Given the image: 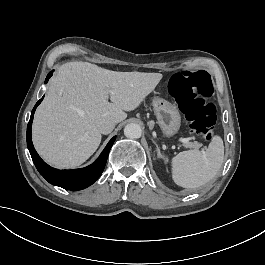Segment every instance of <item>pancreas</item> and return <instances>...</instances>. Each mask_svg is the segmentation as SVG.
I'll return each instance as SVG.
<instances>
[{
  "instance_id": "cf45deb5",
  "label": "pancreas",
  "mask_w": 265,
  "mask_h": 265,
  "mask_svg": "<svg viewBox=\"0 0 265 265\" xmlns=\"http://www.w3.org/2000/svg\"><path fill=\"white\" fill-rule=\"evenodd\" d=\"M183 145L186 148H194V149H198L202 146V144L198 143L197 141L184 143Z\"/></svg>"
}]
</instances>
